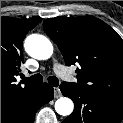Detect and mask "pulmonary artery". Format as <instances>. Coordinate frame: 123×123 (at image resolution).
Masks as SVG:
<instances>
[{"instance_id":"obj_1","label":"pulmonary artery","mask_w":123,"mask_h":123,"mask_svg":"<svg viewBox=\"0 0 123 123\" xmlns=\"http://www.w3.org/2000/svg\"><path fill=\"white\" fill-rule=\"evenodd\" d=\"M54 71L59 75V76H62V77H65L66 76V70H65V67L63 65H61L60 63H55L54 66Z\"/></svg>"}]
</instances>
